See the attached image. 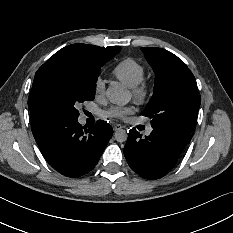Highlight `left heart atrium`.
Here are the masks:
<instances>
[{
	"instance_id": "39dd6f15",
	"label": "left heart atrium",
	"mask_w": 233,
	"mask_h": 233,
	"mask_svg": "<svg viewBox=\"0 0 233 233\" xmlns=\"http://www.w3.org/2000/svg\"><path fill=\"white\" fill-rule=\"evenodd\" d=\"M132 111H133L132 107L118 108L110 111L109 115L117 118H123L126 115L130 114Z\"/></svg>"
}]
</instances>
